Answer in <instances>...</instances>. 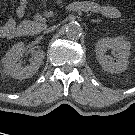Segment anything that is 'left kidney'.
<instances>
[{
    "label": "left kidney",
    "mask_w": 135,
    "mask_h": 135,
    "mask_svg": "<svg viewBox=\"0 0 135 135\" xmlns=\"http://www.w3.org/2000/svg\"><path fill=\"white\" fill-rule=\"evenodd\" d=\"M131 45L122 37L117 38H103L95 45V52L99 63L105 71L111 73H121L126 70L128 66V58L130 55ZM111 50L116 57V61L106 52Z\"/></svg>",
    "instance_id": "5707ae66"
}]
</instances>
